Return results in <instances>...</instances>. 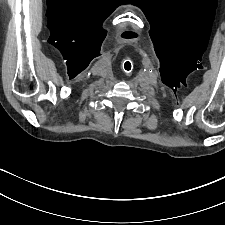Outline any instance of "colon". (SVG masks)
<instances>
[{
  "mask_svg": "<svg viewBox=\"0 0 225 225\" xmlns=\"http://www.w3.org/2000/svg\"><path fill=\"white\" fill-rule=\"evenodd\" d=\"M124 68H125V70H126L127 72H130V71H131V63H130L129 60H126V61L124 62Z\"/></svg>",
  "mask_w": 225,
  "mask_h": 225,
  "instance_id": "5ec220e1",
  "label": "colon"
}]
</instances>
